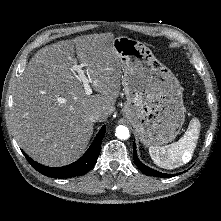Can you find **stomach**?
Returning a JSON list of instances; mask_svg holds the SVG:
<instances>
[{
	"label": "stomach",
	"mask_w": 221,
	"mask_h": 221,
	"mask_svg": "<svg viewBox=\"0 0 221 221\" xmlns=\"http://www.w3.org/2000/svg\"><path fill=\"white\" fill-rule=\"evenodd\" d=\"M112 47L124 73V116L145 146L171 142L185 121L179 81L145 44L120 36L113 39Z\"/></svg>",
	"instance_id": "stomach-1"
}]
</instances>
